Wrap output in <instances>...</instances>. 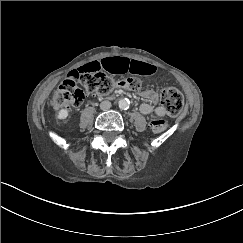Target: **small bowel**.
<instances>
[{"label":"small bowel","mask_w":243,"mask_h":243,"mask_svg":"<svg viewBox=\"0 0 243 243\" xmlns=\"http://www.w3.org/2000/svg\"><path fill=\"white\" fill-rule=\"evenodd\" d=\"M77 72H99L107 71L111 74L133 73L137 75H150L155 73L156 67L152 64L132 60L126 57H110L100 61L86 63L79 67ZM143 97L148 102H156L157 94L152 90H145ZM140 111L154 118H161L165 115V110L161 106H155L151 103H143L140 106Z\"/></svg>","instance_id":"1"}]
</instances>
